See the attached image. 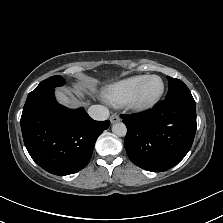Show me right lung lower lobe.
<instances>
[{
	"instance_id": "98d812e1",
	"label": "right lung lower lobe",
	"mask_w": 223,
	"mask_h": 223,
	"mask_svg": "<svg viewBox=\"0 0 223 223\" xmlns=\"http://www.w3.org/2000/svg\"><path fill=\"white\" fill-rule=\"evenodd\" d=\"M20 124L32 159L49 173L69 175L88 164L110 121H95L83 108L69 110L56 102L54 89H49L27 97Z\"/></svg>"
}]
</instances>
